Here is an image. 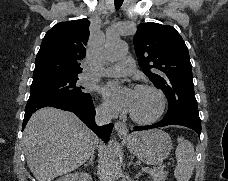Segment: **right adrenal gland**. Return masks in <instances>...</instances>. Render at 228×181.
<instances>
[{
	"instance_id": "obj_1",
	"label": "right adrenal gland",
	"mask_w": 228,
	"mask_h": 181,
	"mask_svg": "<svg viewBox=\"0 0 228 181\" xmlns=\"http://www.w3.org/2000/svg\"><path fill=\"white\" fill-rule=\"evenodd\" d=\"M94 155H91L90 159H88V161H86L85 165H83V167H88L89 163L91 165V167H94V159H93Z\"/></svg>"
}]
</instances>
